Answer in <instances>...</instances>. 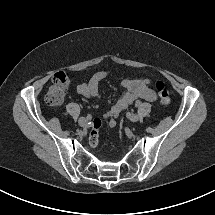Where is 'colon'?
<instances>
[{
    "mask_svg": "<svg viewBox=\"0 0 215 215\" xmlns=\"http://www.w3.org/2000/svg\"><path fill=\"white\" fill-rule=\"evenodd\" d=\"M70 84L69 77L64 72L55 74L52 80V85L48 89L45 95V101L51 106H57L63 103L65 98V92ZM156 91L159 95L160 102L164 105L170 103V91L162 81L155 83ZM100 127V121L95 120L93 128L89 135V143L92 147L98 144V130Z\"/></svg>",
    "mask_w": 215,
    "mask_h": 215,
    "instance_id": "colon-1",
    "label": "colon"
}]
</instances>
